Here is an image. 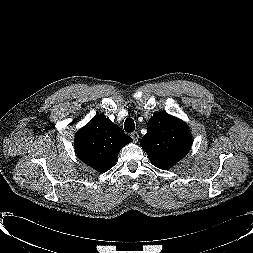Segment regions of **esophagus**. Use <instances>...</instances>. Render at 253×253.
I'll use <instances>...</instances> for the list:
<instances>
[{
    "instance_id": "34e87169",
    "label": "esophagus",
    "mask_w": 253,
    "mask_h": 253,
    "mask_svg": "<svg viewBox=\"0 0 253 253\" xmlns=\"http://www.w3.org/2000/svg\"><path fill=\"white\" fill-rule=\"evenodd\" d=\"M131 137L135 143L139 141V134L137 132L131 133Z\"/></svg>"
}]
</instances>
